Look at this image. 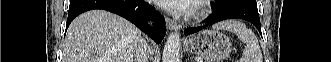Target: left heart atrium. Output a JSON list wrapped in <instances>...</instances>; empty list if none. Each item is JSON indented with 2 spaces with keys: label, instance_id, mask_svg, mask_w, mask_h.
I'll list each match as a JSON object with an SVG mask.
<instances>
[{
  "label": "left heart atrium",
  "instance_id": "39dd6f15",
  "mask_svg": "<svg viewBox=\"0 0 331 62\" xmlns=\"http://www.w3.org/2000/svg\"><path fill=\"white\" fill-rule=\"evenodd\" d=\"M158 5L164 9L179 14H189L193 10V0H158Z\"/></svg>",
  "mask_w": 331,
  "mask_h": 62
}]
</instances>
